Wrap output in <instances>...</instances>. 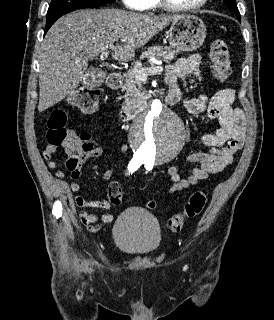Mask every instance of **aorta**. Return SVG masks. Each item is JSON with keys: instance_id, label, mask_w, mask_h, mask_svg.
<instances>
[{"instance_id": "obj_1", "label": "aorta", "mask_w": 274, "mask_h": 320, "mask_svg": "<svg viewBox=\"0 0 274 320\" xmlns=\"http://www.w3.org/2000/svg\"><path fill=\"white\" fill-rule=\"evenodd\" d=\"M184 128L177 115L158 99L149 111L138 117L130 131V142L141 159L149 157L153 163L169 162L184 144Z\"/></svg>"}]
</instances>
